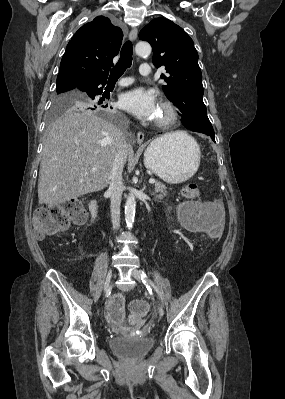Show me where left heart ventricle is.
Returning a JSON list of instances; mask_svg holds the SVG:
<instances>
[{
	"label": "left heart ventricle",
	"mask_w": 285,
	"mask_h": 399,
	"mask_svg": "<svg viewBox=\"0 0 285 399\" xmlns=\"http://www.w3.org/2000/svg\"><path fill=\"white\" fill-rule=\"evenodd\" d=\"M166 116H167L166 111H165L163 108L159 107V110H158V114H157V116H156V119H163V118H165Z\"/></svg>",
	"instance_id": "obj_1"
}]
</instances>
